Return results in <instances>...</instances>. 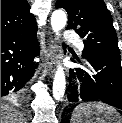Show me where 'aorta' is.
Segmentation results:
<instances>
[{
	"label": "aorta",
	"mask_w": 122,
	"mask_h": 123,
	"mask_svg": "<svg viewBox=\"0 0 122 123\" xmlns=\"http://www.w3.org/2000/svg\"><path fill=\"white\" fill-rule=\"evenodd\" d=\"M67 22L66 13L63 10H55L51 16V26L53 31L58 35ZM66 79L62 66H58L53 81V97L60 100L65 93Z\"/></svg>",
	"instance_id": "aorta-1"
}]
</instances>
